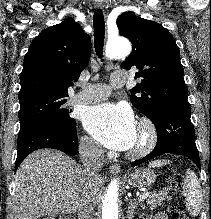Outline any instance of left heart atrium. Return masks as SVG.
Returning a JSON list of instances; mask_svg holds the SVG:
<instances>
[{
  "instance_id": "1",
  "label": "left heart atrium",
  "mask_w": 211,
  "mask_h": 219,
  "mask_svg": "<svg viewBox=\"0 0 211 219\" xmlns=\"http://www.w3.org/2000/svg\"><path fill=\"white\" fill-rule=\"evenodd\" d=\"M85 129L105 147L117 151L132 148L137 139V125L130 108L104 103L87 110Z\"/></svg>"
}]
</instances>
